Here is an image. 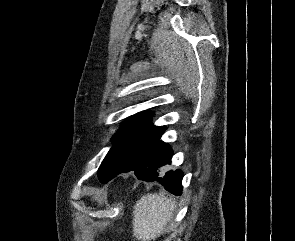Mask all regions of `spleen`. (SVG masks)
<instances>
[{
    "label": "spleen",
    "instance_id": "1",
    "mask_svg": "<svg viewBox=\"0 0 295 241\" xmlns=\"http://www.w3.org/2000/svg\"><path fill=\"white\" fill-rule=\"evenodd\" d=\"M175 208V201L163 193L142 196L134 205L133 236L141 241L155 240L173 218Z\"/></svg>",
    "mask_w": 295,
    "mask_h": 241
}]
</instances>
